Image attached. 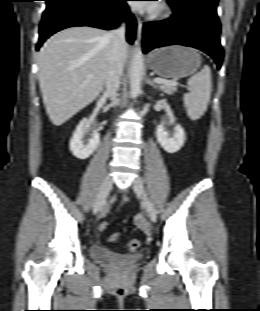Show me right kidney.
Masks as SVG:
<instances>
[{"label":"right kidney","mask_w":260,"mask_h":311,"mask_svg":"<svg viewBox=\"0 0 260 311\" xmlns=\"http://www.w3.org/2000/svg\"><path fill=\"white\" fill-rule=\"evenodd\" d=\"M89 125L90 121L84 118L77 126L70 140V150L72 154L81 160L87 159L96 150L100 142L99 133L94 131L92 137L88 140V144H83L82 139L84 138Z\"/></svg>","instance_id":"right-kidney-1"}]
</instances>
